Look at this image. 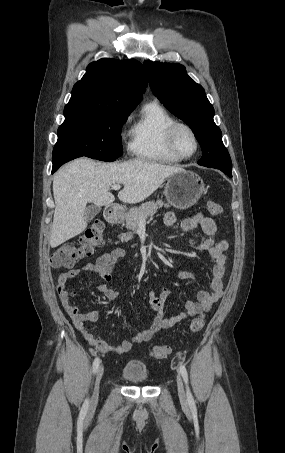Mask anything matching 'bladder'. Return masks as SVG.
<instances>
[{
	"label": "bladder",
	"instance_id": "bladder-1",
	"mask_svg": "<svg viewBox=\"0 0 285 453\" xmlns=\"http://www.w3.org/2000/svg\"><path fill=\"white\" fill-rule=\"evenodd\" d=\"M122 377L129 382L141 384L147 381L148 372L144 364L130 361L123 367Z\"/></svg>",
	"mask_w": 285,
	"mask_h": 453
}]
</instances>
